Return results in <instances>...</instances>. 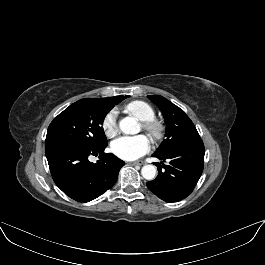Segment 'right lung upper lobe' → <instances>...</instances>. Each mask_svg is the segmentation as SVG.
<instances>
[{
	"instance_id": "cb5924a9",
	"label": "right lung upper lobe",
	"mask_w": 265,
	"mask_h": 265,
	"mask_svg": "<svg viewBox=\"0 0 265 265\" xmlns=\"http://www.w3.org/2000/svg\"><path fill=\"white\" fill-rule=\"evenodd\" d=\"M96 99H99L100 101L114 107L116 104H118L121 101H123L124 99H126V96H115V97L96 98Z\"/></svg>"
}]
</instances>
